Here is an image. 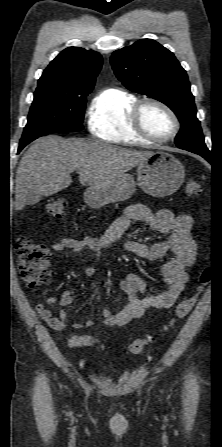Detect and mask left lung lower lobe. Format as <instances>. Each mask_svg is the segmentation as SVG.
Segmentation results:
<instances>
[{
  "label": "left lung lower lobe",
  "instance_id": "1",
  "mask_svg": "<svg viewBox=\"0 0 222 447\" xmlns=\"http://www.w3.org/2000/svg\"><path fill=\"white\" fill-rule=\"evenodd\" d=\"M190 152L199 154V155H201L202 157H204L207 160H209V158H210V152L208 154H206L205 152H196V151H190Z\"/></svg>",
  "mask_w": 222,
  "mask_h": 447
}]
</instances>
